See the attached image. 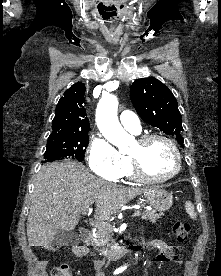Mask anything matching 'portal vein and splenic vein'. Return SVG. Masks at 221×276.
I'll return each instance as SVG.
<instances>
[{
    "label": "portal vein and splenic vein",
    "instance_id": "obj_1",
    "mask_svg": "<svg viewBox=\"0 0 221 276\" xmlns=\"http://www.w3.org/2000/svg\"><path fill=\"white\" fill-rule=\"evenodd\" d=\"M90 211V209H89ZM88 210H85L82 212L83 215L87 214ZM141 214L140 211H135L131 216L132 217H136V216H139ZM93 226L95 227H105L107 226L108 224H105V223H91Z\"/></svg>",
    "mask_w": 221,
    "mask_h": 276
}]
</instances>
